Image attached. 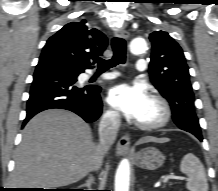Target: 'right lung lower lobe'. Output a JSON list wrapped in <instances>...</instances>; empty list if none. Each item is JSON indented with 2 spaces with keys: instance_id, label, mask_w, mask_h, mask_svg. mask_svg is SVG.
I'll return each instance as SVG.
<instances>
[{
  "instance_id": "98d812e1",
  "label": "right lung lower lobe",
  "mask_w": 218,
  "mask_h": 191,
  "mask_svg": "<svg viewBox=\"0 0 218 191\" xmlns=\"http://www.w3.org/2000/svg\"><path fill=\"white\" fill-rule=\"evenodd\" d=\"M33 77L23 125L37 113L52 108L70 110L88 123L94 122L101 115V88L94 85H76V80L65 66L39 62Z\"/></svg>"
}]
</instances>
